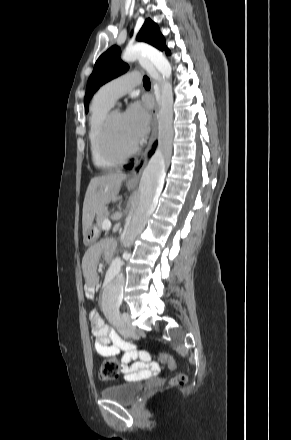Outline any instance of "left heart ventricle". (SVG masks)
<instances>
[{
  "label": "left heart ventricle",
  "mask_w": 291,
  "mask_h": 440,
  "mask_svg": "<svg viewBox=\"0 0 291 440\" xmlns=\"http://www.w3.org/2000/svg\"><path fill=\"white\" fill-rule=\"evenodd\" d=\"M110 138L113 147L120 152L127 151L137 143L130 133L123 114L119 111L113 116Z\"/></svg>",
  "instance_id": "left-heart-ventricle-1"
}]
</instances>
